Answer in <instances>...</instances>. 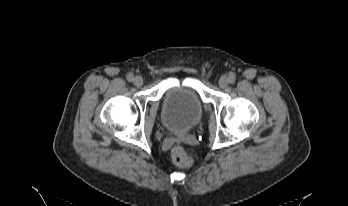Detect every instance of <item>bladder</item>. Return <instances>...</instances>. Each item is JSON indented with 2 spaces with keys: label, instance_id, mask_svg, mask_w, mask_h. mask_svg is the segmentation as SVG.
I'll return each mask as SVG.
<instances>
[{
  "label": "bladder",
  "instance_id": "bladder-1",
  "mask_svg": "<svg viewBox=\"0 0 348 206\" xmlns=\"http://www.w3.org/2000/svg\"><path fill=\"white\" fill-rule=\"evenodd\" d=\"M163 111L171 128L186 131L199 121L202 115V102L191 85H173L166 93Z\"/></svg>",
  "mask_w": 348,
  "mask_h": 206
}]
</instances>
